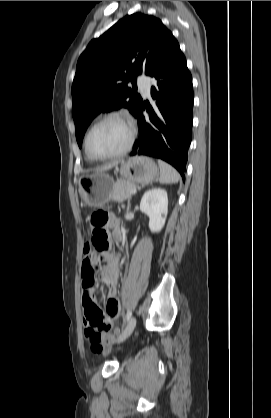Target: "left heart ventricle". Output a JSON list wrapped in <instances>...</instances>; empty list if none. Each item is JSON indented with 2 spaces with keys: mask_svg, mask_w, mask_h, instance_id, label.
Instances as JSON below:
<instances>
[{
  "mask_svg": "<svg viewBox=\"0 0 271 418\" xmlns=\"http://www.w3.org/2000/svg\"><path fill=\"white\" fill-rule=\"evenodd\" d=\"M130 135L128 125L119 120H109L98 125L89 138V149L92 154L105 156L121 150Z\"/></svg>",
  "mask_w": 271,
  "mask_h": 418,
  "instance_id": "1",
  "label": "left heart ventricle"
}]
</instances>
